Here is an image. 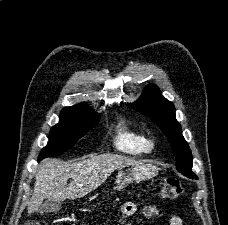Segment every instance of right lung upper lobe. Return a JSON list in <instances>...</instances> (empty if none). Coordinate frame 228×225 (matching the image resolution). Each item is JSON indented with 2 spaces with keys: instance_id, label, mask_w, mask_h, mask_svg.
<instances>
[{
  "instance_id": "1",
  "label": "right lung upper lobe",
  "mask_w": 228,
  "mask_h": 225,
  "mask_svg": "<svg viewBox=\"0 0 228 225\" xmlns=\"http://www.w3.org/2000/svg\"><path fill=\"white\" fill-rule=\"evenodd\" d=\"M78 106H83V107H87L85 104H80V105H78Z\"/></svg>"
}]
</instances>
